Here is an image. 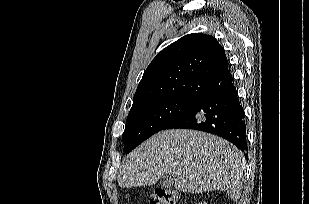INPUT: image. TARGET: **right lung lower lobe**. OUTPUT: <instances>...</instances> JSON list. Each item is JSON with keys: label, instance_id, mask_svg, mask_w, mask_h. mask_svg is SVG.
Returning a JSON list of instances; mask_svg holds the SVG:
<instances>
[{"label": "right lung lower lobe", "instance_id": "1", "mask_svg": "<svg viewBox=\"0 0 309 204\" xmlns=\"http://www.w3.org/2000/svg\"><path fill=\"white\" fill-rule=\"evenodd\" d=\"M174 128L218 135L232 142L247 157L245 113L233 83L202 98L164 129Z\"/></svg>", "mask_w": 309, "mask_h": 204}]
</instances>
